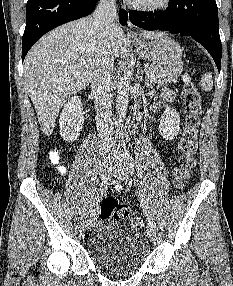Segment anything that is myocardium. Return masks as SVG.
Masks as SVG:
<instances>
[{"label": "myocardium", "mask_w": 233, "mask_h": 286, "mask_svg": "<svg viewBox=\"0 0 233 286\" xmlns=\"http://www.w3.org/2000/svg\"><path fill=\"white\" fill-rule=\"evenodd\" d=\"M129 3L136 10L144 12H157L166 9L170 5L171 0H159L152 4H143L138 2L137 3L129 2Z\"/></svg>", "instance_id": "1"}]
</instances>
